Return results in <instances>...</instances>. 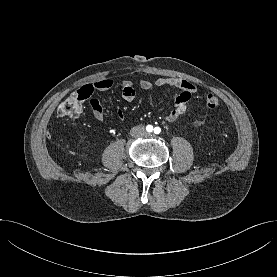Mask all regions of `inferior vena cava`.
Returning a JSON list of instances; mask_svg holds the SVG:
<instances>
[{
    "mask_svg": "<svg viewBox=\"0 0 277 277\" xmlns=\"http://www.w3.org/2000/svg\"><path fill=\"white\" fill-rule=\"evenodd\" d=\"M140 130H141L142 132H144V129H143V128H140ZM132 135L136 136L135 130H132Z\"/></svg>",
    "mask_w": 277,
    "mask_h": 277,
    "instance_id": "inferior-vena-cava-1",
    "label": "inferior vena cava"
}]
</instances>
